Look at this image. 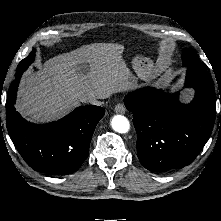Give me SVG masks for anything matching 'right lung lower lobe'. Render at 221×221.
<instances>
[{"label":"right lung lower lobe","instance_id":"1","mask_svg":"<svg viewBox=\"0 0 221 221\" xmlns=\"http://www.w3.org/2000/svg\"><path fill=\"white\" fill-rule=\"evenodd\" d=\"M21 75L11 83L6 100V125L13 144L35 171L50 175L75 172L88 156L93 132L105 109L81 106L56 122H27L14 107Z\"/></svg>","mask_w":221,"mask_h":221}]
</instances>
